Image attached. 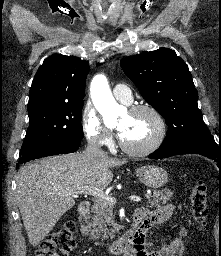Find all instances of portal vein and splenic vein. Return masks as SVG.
Returning a JSON list of instances; mask_svg holds the SVG:
<instances>
[{"mask_svg":"<svg viewBox=\"0 0 221 256\" xmlns=\"http://www.w3.org/2000/svg\"><path fill=\"white\" fill-rule=\"evenodd\" d=\"M67 193L69 195L88 194V195H92V196L96 197L97 199L108 201L111 204H115L117 201L115 198L110 197L109 195H106L102 189H99V188L93 187V186L79 187L77 189L70 190ZM129 199L134 202L142 201V198L140 196H136V195H131L129 197Z\"/></svg>","mask_w":221,"mask_h":256,"instance_id":"portal-vein-and-splenic-vein-1","label":"portal vein and splenic vein"}]
</instances>
